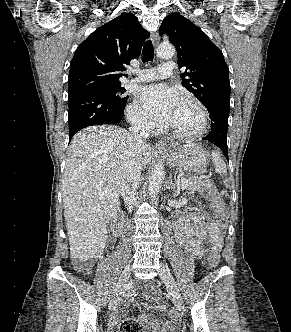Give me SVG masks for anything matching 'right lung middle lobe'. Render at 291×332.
Returning a JSON list of instances; mask_svg holds the SVG:
<instances>
[{
  "mask_svg": "<svg viewBox=\"0 0 291 332\" xmlns=\"http://www.w3.org/2000/svg\"><path fill=\"white\" fill-rule=\"evenodd\" d=\"M89 90H95L107 96L119 106L126 105L128 96H125L126 90L121 87V83L110 84L99 82L94 84Z\"/></svg>",
  "mask_w": 291,
  "mask_h": 332,
  "instance_id": "right-lung-middle-lobe-1",
  "label": "right lung middle lobe"
}]
</instances>
